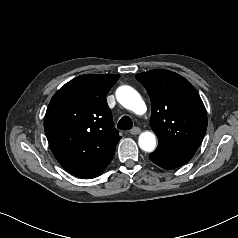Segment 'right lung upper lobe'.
Here are the masks:
<instances>
[{"instance_id":"obj_1","label":"right lung upper lobe","mask_w":238,"mask_h":238,"mask_svg":"<svg viewBox=\"0 0 238 238\" xmlns=\"http://www.w3.org/2000/svg\"><path fill=\"white\" fill-rule=\"evenodd\" d=\"M117 74H85L61 87L44 118L50 148L60 165L74 176H99L111 162L121 137L113 127L106 94Z\"/></svg>"}]
</instances>
